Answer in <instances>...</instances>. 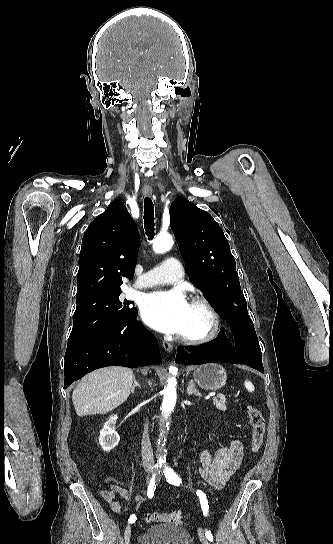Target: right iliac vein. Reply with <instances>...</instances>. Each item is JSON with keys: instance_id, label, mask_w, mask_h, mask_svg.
<instances>
[{"instance_id": "obj_1", "label": "right iliac vein", "mask_w": 333, "mask_h": 544, "mask_svg": "<svg viewBox=\"0 0 333 544\" xmlns=\"http://www.w3.org/2000/svg\"><path fill=\"white\" fill-rule=\"evenodd\" d=\"M131 538V526L127 525L124 531L125 544H129Z\"/></svg>"}]
</instances>
